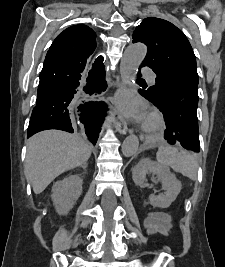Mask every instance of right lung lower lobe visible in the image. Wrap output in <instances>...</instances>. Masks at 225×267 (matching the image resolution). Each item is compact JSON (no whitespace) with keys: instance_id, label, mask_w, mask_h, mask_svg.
Returning a JSON list of instances; mask_svg holds the SVG:
<instances>
[{"instance_id":"1","label":"right lung lower lobe","mask_w":225,"mask_h":267,"mask_svg":"<svg viewBox=\"0 0 225 267\" xmlns=\"http://www.w3.org/2000/svg\"><path fill=\"white\" fill-rule=\"evenodd\" d=\"M93 52L86 49L50 48L43 69L39 75L36 105L29 122L28 137L47 129H59L73 133L70 111L84 76L87 78V92L92 94L105 85L102 63L91 64ZM104 116V105L92 106L91 119L100 120ZM93 143L97 134L87 128Z\"/></svg>"}]
</instances>
